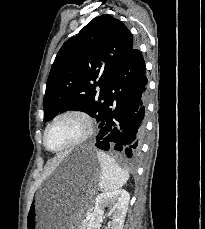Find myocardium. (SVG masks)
<instances>
[{
	"instance_id": "myocardium-1",
	"label": "myocardium",
	"mask_w": 205,
	"mask_h": 229,
	"mask_svg": "<svg viewBox=\"0 0 205 229\" xmlns=\"http://www.w3.org/2000/svg\"><path fill=\"white\" fill-rule=\"evenodd\" d=\"M64 118H75L77 119L81 125H82V131L80 135L75 138L73 141L69 142L68 144L58 148V149H50L47 145V134L49 129L59 120ZM93 119L90 116L89 113H87L84 110L81 109H67L60 113H58L46 126L44 133H43V145L44 147L53 153L62 152L65 150H68L70 148H73L75 146H78L85 142L92 134L93 132Z\"/></svg>"
}]
</instances>
